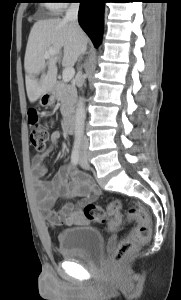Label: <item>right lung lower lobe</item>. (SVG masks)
Wrapping results in <instances>:
<instances>
[{"instance_id":"98d812e1","label":"right lung lower lobe","mask_w":181,"mask_h":300,"mask_svg":"<svg viewBox=\"0 0 181 300\" xmlns=\"http://www.w3.org/2000/svg\"><path fill=\"white\" fill-rule=\"evenodd\" d=\"M80 2L78 20L95 47L101 43L106 0H77Z\"/></svg>"}]
</instances>
